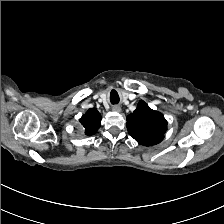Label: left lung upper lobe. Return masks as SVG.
Instances as JSON below:
<instances>
[{
  "label": "left lung upper lobe",
  "instance_id": "1",
  "mask_svg": "<svg viewBox=\"0 0 224 224\" xmlns=\"http://www.w3.org/2000/svg\"><path fill=\"white\" fill-rule=\"evenodd\" d=\"M128 133L141 145L151 146L160 143L167 130L164 116L154 111L143 101L136 110L127 116Z\"/></svg>",
  "mask_w": 224,
  "mask_h": 224
}]
</instances>
